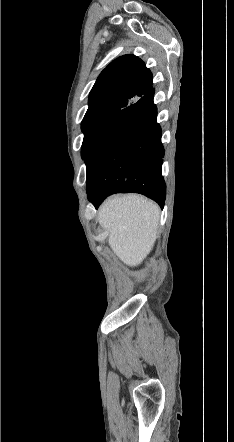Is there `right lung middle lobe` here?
Returning a JSON list of instances; mask_svg holds the SVG:
<instances>
[{
    "instance_id": "1",
    "label": "right lung middle lobe",
    "mask_w": 234,
    "mask_h": 442,
    "mask_svg": "<svg viewBox=\"0 0 234 442\" xmlns=\"http://www.w3.org/2000/svg\"><path fill=\"white\" fill-rule=\"evenodd\" d=\"M116 115L117 113H104L83 119L81 129L84 133V140L81 148V155L84 160L87 158Z\"/></svg>"
}]
</instances>
